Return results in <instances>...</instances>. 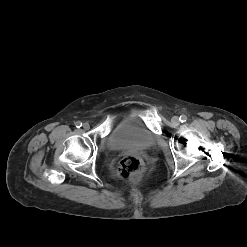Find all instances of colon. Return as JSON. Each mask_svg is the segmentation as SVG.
Masks as SVG:
<instances>
[{"instance_id":"obj_1","label":"colon","mask_w":247,"mask_h":247,"mask_svg":"<svg viewBox=\"0 0 247 247\" xmlns=\"http://www.w3.org/2000/svg\"><path fill=\"white\" fill-rule=\"evenodd\" d=\"M143 171V161L138 156L129 155L124 157L118 166L119 175L124 179L138 176Z\"/></svg>"}]
</instances>
